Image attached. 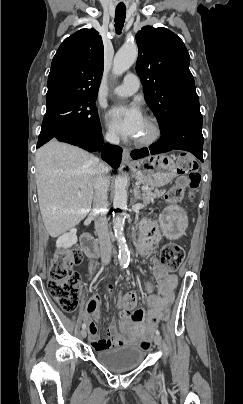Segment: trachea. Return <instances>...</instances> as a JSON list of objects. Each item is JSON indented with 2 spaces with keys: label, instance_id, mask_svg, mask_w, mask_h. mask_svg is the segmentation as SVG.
<instances>
[{
  "label": "trachea",
  "instance_id": "obj_1",
  "mask_svg": "<svg viewBox=\"0 0 243 404\" xmlns=\"http://www.w3.org/2000/svg\"><path fill=\"white\" fill-rule=\"evenodd\" d=\"M126 7L117 6L115 10V30L117 34H121L125 23Z\"/></svg>",
  "mask_w": 243,
  "mask_h": 404
}]
</instances>
